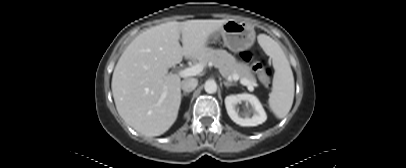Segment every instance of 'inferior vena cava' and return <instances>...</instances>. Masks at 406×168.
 Returning <instances> with one entry per match:
<instances>
[{
  "label": "inferior vena cava",
  "instance_id": "inferior-vena-cava-1",
  "mask_svg": "<svg viewBox=\"0 0 406 168\" xmlns=\"http://www.w3.org/2000/svg\"><path fill=\"white\" fill-rule=\"evenodd\" d=\"M198 85V80L195 78H188L181 82V88L184 92H192Z\"/></svg>",
  "mask_w": 406,
  "mask_h": 168
}]
</instances>
